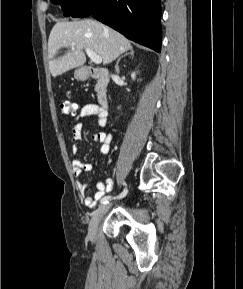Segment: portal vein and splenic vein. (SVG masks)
<instances>
[{
	"mask_svg": "<svg viewBox=\"0 0 243 289\" xmlns=\"http://www.w3.org/2000/svg\"><path fill=\"white\" fill-rule=\"evenodd\" d=\"M71 47L74 48V44H71ZM86 54L90 57V59L93 61V63L95 64H100L102 62V58L101 56H99L98 54H96L93 50H91L90 48H86L85 49Z\"/></svg>",
	"mask_w": 243,
	"mask_h": 289,
	"instance_id": "portal-vein-and-splenic-vein-1",
	"label": "portal vein and splenic vein"
}]
</instances>
